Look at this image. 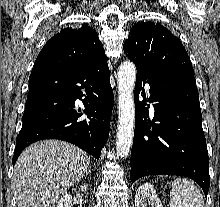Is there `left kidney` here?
Returning a JSON list of instances; mask_svg holds the SVG:
<instances>
[{
  "label": "left kidney",
  "mask_w": 220,
  "mask_h": 207,
  "mask_svg": "<svg viewBox=\"0 0 220 207\" xmlns=\"http://www.w3.org/2000/svg\"><path fill=\"white\" fill-rule=\"evenodd\" d=\"M147 205H151L152 207H163L153 186L149 183H144L139 186L136 191L135 207H147Z\"/></svg>",
  "instance_id": "left-kidney-1"
}]
</instances>
